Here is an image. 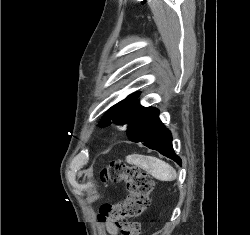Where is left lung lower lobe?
Returning a JSON list of instances; mask_svg holds the SVG:
<instances>
[{
  "label": "left lung lower lobe",
  "instance_id": "obj_1",
  "mask_svg": "<svg viewBox=\"0 0 250 235\" xmlns=\"http://www.w3.org/2000/svg\"><path fill=\"white\" fill-rule=\"evenodd\" d=\"M127 126L133 142L141 141L146 147L157 150L181 165V159L172 147L171 133L159 119L157 108L143 107L136 101L130 108Z\"/></svg>",
  "mask_w": 250,
  "mask_h": 235
}]
</instances>
